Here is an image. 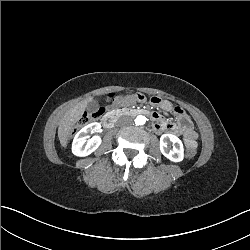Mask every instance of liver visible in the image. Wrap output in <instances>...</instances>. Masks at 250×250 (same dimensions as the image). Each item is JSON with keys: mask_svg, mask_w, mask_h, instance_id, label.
Wrapping results in <instances>:
<instances>
[{"mask_svg": "<svg viewBox=\"0 0 250 250\" xmlns=\"http://www.w3.org/2000/svg\"><path fill=\"white\" fill-rule=\"evenodd\" d=\"M88 100L78 102L73 108L68 110L58 127V137L60 144L66 148L69 140V135L75 126V123L82 118V114L87 107Z\"/></svg>", "mask_w": 250, "mask_h": 250, "instance_id": "6515ba94", "label": "liver"}]
</instances>
